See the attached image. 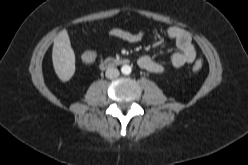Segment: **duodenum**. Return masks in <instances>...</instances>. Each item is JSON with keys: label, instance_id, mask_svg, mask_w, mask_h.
Here are the masks:
<instances>
[{"label": "duodenum", "instance_id": "1", "mask_svg": "<svg viewBox=\"0 0 248 165\" xmlns=\"http://www.w3.org/2000/svg\"><path fill=\"white\" fill-rule=\"evenodd\" d=\"M128 63V59L126 58H107L101 62L102 69L112 68L118 65H124Z\"/></svg>", "mask_w": 248, "mask_h": 165}]
</instances>
